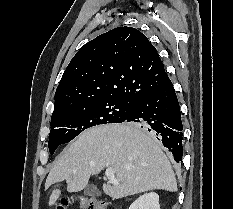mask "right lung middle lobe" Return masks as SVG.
Here are the masks:
<instances>
[{
  "label": "right lung middle lobe",
  "instance_id": "1",
  "mask_svg": "<svg viewBox=\"0 0 233 209\" xmlns=\"http://www.w3.org/2000/svg\"><path fill=\"white\" fill-rule=\"evenodd\" d=\"M133 102L108 98L85 104L69 112L52 115L49 152L53 154L61 144L68 143L85 129L125 120ZM138 126V125H136Z\"/></svg>",
  "mask_w": 233,
  "mask_h": 209
}]
</instances>
